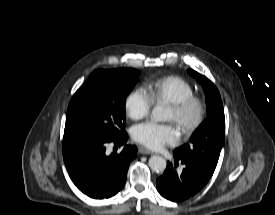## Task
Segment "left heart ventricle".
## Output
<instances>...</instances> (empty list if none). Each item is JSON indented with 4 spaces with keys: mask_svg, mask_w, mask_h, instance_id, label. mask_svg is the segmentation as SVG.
Here are the masks:
<instances>
[{
    "mask_svg": "<svg viewBox=\"0 0 275 215\" xmlns=\"http://www.w3.org/2000/svg\"><path fill=\"white\" fill-rule=\"evenodd\" d=\"M166 120L173 121L177 124V116L170 107L168 108V111L166 114Z\"/></svg>",
    "mask_w": 275,
    "mask_h": 215,
    "instance_id": "1",
    "label": "left heart ventricle"
}]
</instances>
